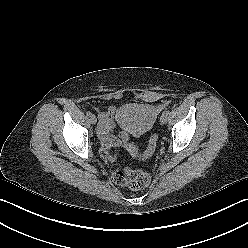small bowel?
Masks as SVG:
<instances>
[{
    "mask_svg": "<svg viewBox=\"0 0 248 248\" xmlns=\"http://www.w3.org/2000/svg\"><path fill=\"white\" fill-rule=\"evenodd\" d=\"M116 122H118V119L116 109L113 106L108 107L104 112L99 114L97 133L99 140L105 149L123 145L129 140L130 132L121 125V131L118 134L112 133Z\"/></svg>",
    "mask_w": 248,
    "mask_h": 248,
    "instance_id": "small-bowel-1",
    "label": "small bowel"
}]
</instances>
